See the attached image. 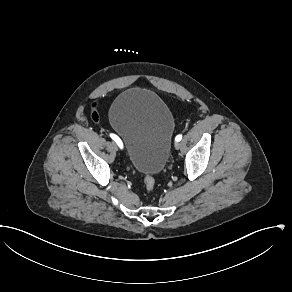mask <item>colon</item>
Returning <instances> with one entry per match:
<instances>
[{"label":"colon","mask_w":292,"mask_h":292,"mask_svg":"<svg viewBox=\"0 0 292 292\" xmlns=\"http://www.w3.org/2000/svg\"><path fill=\"white\" fill-rule=\"evenodd\" d=\"M97 117H98L97 114H93L92 115L93 120H95ZM155 184H156V181L153 178V176H151L148 173H145V175H144V187H145V190H146L147 193H152L153 192V190L155 188Z\"/></svg>","instance_id":"5ec220e1"}]
</instances>
